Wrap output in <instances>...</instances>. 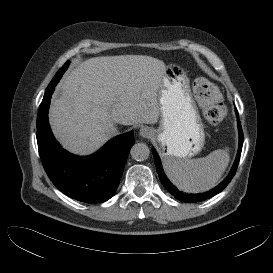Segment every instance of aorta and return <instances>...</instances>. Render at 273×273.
<instances>
[{"instance_id": "aorta-1", "label": "aorta", "mask_w": 273, "mask_h": 273, "mask_svg": "<svg viewBox=\"0 0 273 273\" xmlns=\"http://www.w3.org/2000/svg\"><path fill=\"white\" fill-rule=\"evenodd\" d=\"M130 154L137 161H144L149 157L150 150L145 143H136L132 146Z\"/></svg>"}]
</instances>
